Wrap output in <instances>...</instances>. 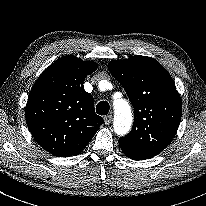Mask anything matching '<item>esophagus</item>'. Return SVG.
Instances as JSON below:
<instances>
[{"label":"esophagus","instance_id":"34e87169","mask_svg":"<svg viewBox=\"0 0 206 206\" xmlns=\"http://www.w3.org/2000/svg\"><path fill=\"white\" fill-rule=\"evenodd\" d=\"M104 122L106 125H109L112 122V115H107L104 117Z\"/></svg>","mask_w":206,"mask_h":206}]
</instances>
